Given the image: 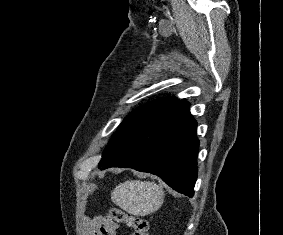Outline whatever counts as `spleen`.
<instances>
[{
    "instance_id": "obj_1",
    "label": "spleen",
    "mask_w": 283,
    "mask_h": 235,
    "mask_svg": "<svg viewBox=\"0 0 283 235\" xmlns=\"http://www.w3.org/2000/svg\"><path fill=\"white\" fill-rule=\"evenodd\" d=\"M111 200L129 214L146 216L161 207L164 190L154 182L129 180L116 186Z\"/></svg>"
}]
</instances>
